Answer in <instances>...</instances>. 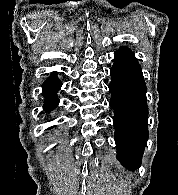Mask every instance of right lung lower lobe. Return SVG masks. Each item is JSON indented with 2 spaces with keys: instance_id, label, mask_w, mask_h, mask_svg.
Listing matches in <instances>:
<instances>
[{
  "instance_id": "1",
  "label": "right lung lower lobe",
  "mask_w": 178,
  "mask_h": 195,
  "mask_svg": "<svg viewBox=\"0 0 178 195\" xmlns=\"http://www.w3.org/2000/svg\"><path fill=\"white\" fill-rule=\"evenodd\" d=\"M61 85L62 83L55 72L43 83L42 88L45 96L44 109L46 111H50L58 105L57 92Z\"/></svg>"
}]
</instances>
